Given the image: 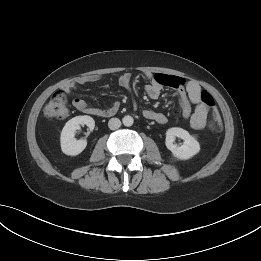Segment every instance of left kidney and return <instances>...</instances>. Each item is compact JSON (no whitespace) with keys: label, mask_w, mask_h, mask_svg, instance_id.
Returning <instances> with one entry per match:
<instances>
[{"label":"left kidney","mask_w":261,"mask_h":261,"mask_svg":"<svg viewBox=\"0 0 261 261\" xmlns=\"http://www.w3.org/2000/svg\"><path fill=\"white\" fill-rule=\"evenodd\" d=\"M176 137L184 140L183 145L177 146L174 144ZM165 143L173 156L180 160L190 159L200 151L199 142L195 137L190 135L188 131L178 127L169 128L166 131Z\"/></svg>","instance_id":"left-kidney-1"}]
</instances>
